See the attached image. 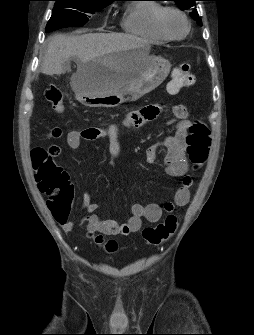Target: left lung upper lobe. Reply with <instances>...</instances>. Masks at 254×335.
<instances>
[{"label":"left lung upper lobe","mask_w":254,"mask_h":335,"mask_svg":"<svg viewBox=\"0 0 254 335\" xmlns=\"http://www.w3.org/2000/svg\"><path fill=\"white\" fill-rule=\"evenodd\" d=\"M174 1L179 7H181L184 10H187L189 8H193L195 6V1L197 0H170ZM191 17L196 20L200 25H202L201 19H199L197 10H193L190 13Z\"/></svg>","instance_id":"5c2ea615"}]
</instances>
